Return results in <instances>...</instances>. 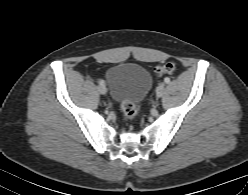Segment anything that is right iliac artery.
Wrapping results in <instances>:
<instances>
[{
  "mask_svg": "<svg viewBox=\"0 0 248 195\" xmlns=\"http://www.w3.org/2000/svg\"><path fill=\"white\" fill-rule=\"evenodd\" d=\"M99 84H100V85H103V84H104V81H103V80H100V81H99Z\"/></svg>",
  "mask_w": 248,
  "mask_h": 195,
  "instance_id": "82829eb1",
  "label": "right iliac artery"
}]
</instances>
